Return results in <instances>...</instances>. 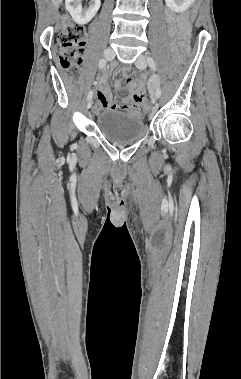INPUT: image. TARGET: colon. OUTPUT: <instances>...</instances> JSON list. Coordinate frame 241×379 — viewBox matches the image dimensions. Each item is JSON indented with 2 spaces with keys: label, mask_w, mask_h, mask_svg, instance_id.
<instances>
[{
  "label": "colon",
  "mask_w": 241,
  "mask_h": 379,
  "mask_svg": "<svg viewBox=\"0 0 241 379\" xmlns=\"http://www.w3.org/2000/svg\"><path fill=\"white\" fill-rule=\"evenodd\" d=\"M62 17L66 18L65 12L60 11ZM198 14L197 8H190L189 14H187V21H196V15ZM86 29L84 26L69 22L66 20L63 30L61 31L57 41V61L61 68H63L71 78L78 76V66L81 61V55L86 45L85 40ZM181 70V65L176 62H171L169 68L166 69V74L169 77V81L174 83L178 73L176 71ZM120 95H125L124 92H120ZM145 105L151 104L150 98L144 99ZM99 107H102V102L99 100Z\"/></svg>",
  "instance_id": "colon-1"
}]
</instances>
